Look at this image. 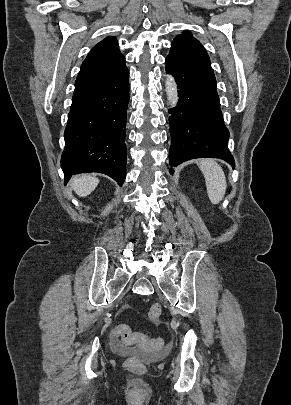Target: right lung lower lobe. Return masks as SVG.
Listing matches in <instances>:
<instances>
[{
	"mask_svg": "<svg viewBox=\"0 0 291 405\" xmlns=\"http://www.w3.org/2000/svg\"><path fill=\"white\" fill-rule=\"evenodd\" d=\"M128 75L127 69L115 79L74 93L61 156L65 183L73 174L99 172L123 185Z\"/></svg>",
	"mask_w": 291,
	"mask_h": 405,
	"instance_id": "98d812e1",
	"label": "right lung lower lobe"
}]
</instances>
